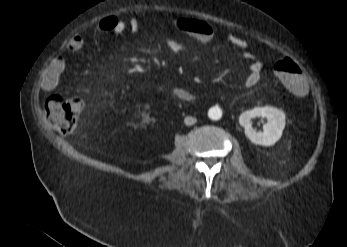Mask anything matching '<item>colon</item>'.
Returning a JSON list of instances; mask_svg holds the SVG:
<instances>
[{"instance_id": "obj_1", "label": "colon", "mask_w": 347, "mask_h": 247, "mask_svg": "<svg viewBox=\"0 0 347 247\" xmlns=\"http://www.w3.org/2000/svg\"><path fill=\"white\" fill-rule=\"evenodd\" d=\"M275 77L292 93L302 96L307 92V83L300 66L290 58L282 59L273 67ZM83 108L80 99L50 96L45 104L48 122L60 133L68 134L75 130Z\"/></svg>"}]
</instances>
